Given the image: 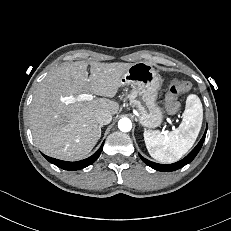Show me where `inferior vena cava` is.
Instances as JSON below:
<instances>
[{
	"label": "inferior vena cava",
	"mask_w": 231,
	"mask_h": 231,
	"mask_svg": "<svg viewBox=\"0 0 231 231\" xmlns=\"http://www.w3.org/2000/svg\"><path fill=\"white\" fill-rule=\"evenodd\" d=\"M95 117H96L97 122L100 124V126L107 125L112 120V115L107 110H98L95 113Z\"/></svg>",
	"instance_id": "obj_1"
}]
</instances>
